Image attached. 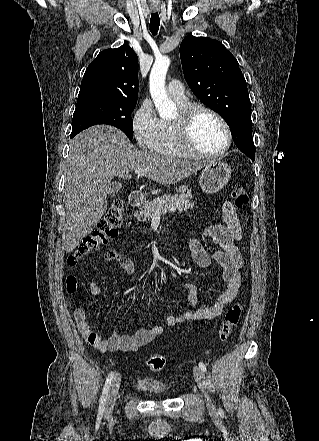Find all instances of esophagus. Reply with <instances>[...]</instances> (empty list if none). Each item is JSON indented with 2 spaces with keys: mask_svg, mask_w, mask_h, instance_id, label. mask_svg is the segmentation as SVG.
Here are the masks:
<instances>
[{
  "mask_svg": "<svg viewBox=\"0 0 319 441\" xmlns=\"http://www.w3.org/2000/svg\"><path fill=\"white\" fill-rule=\"evenodd\" d=\"M151 9L153 12H157L159 10V7L157 5L151 6Z\"/></svg>",
  "mask_w": 319,
  "mask_h": 441,
  "instance_id": "1",
  "label": "esophagus"
}]
</instances>
